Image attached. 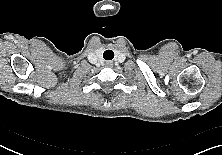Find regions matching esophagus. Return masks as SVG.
Instances as JSON below:
<instances>
[{"label":"esophagus","mask_w":222,"mask_h":155,"mask_svg":"<svg viewBox=\"0 0 222 155\" xmlns=\"http://www.w3.org/2000/svg\"><path fill=\"white\" fill-rule=\"evenodd\" d=\"M113 63L111 61H106L105 66L106 67H112Z\"/></svg>","instance_id":"obj_1"}]
</instances>
